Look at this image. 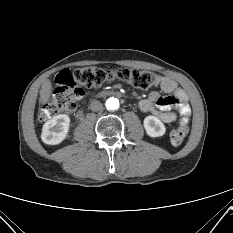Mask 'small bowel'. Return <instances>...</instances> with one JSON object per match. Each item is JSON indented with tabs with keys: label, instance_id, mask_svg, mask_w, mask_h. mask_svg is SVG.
Masks as SVG:
<instances>
[{
	"label": "small bowel",
	"instance_id": "1",
	"mask_svg": "<svg viewBox=\"0 0 233 233\" xmlns=\"http://www.w3.org/2000/svg\"><path fill=\"white\" fill-rule=\"evenodd\" d=\"M155 86L171 95L164 96L161 92L152 91L148 98L140 101V110L153 114L164 123L178 121L179 125H187L191 115L187 93L174 80L165 76L159 77Z\"/></svg>",
	"mask_w": 233,
	"mask_h": 233
}]
</instances>
